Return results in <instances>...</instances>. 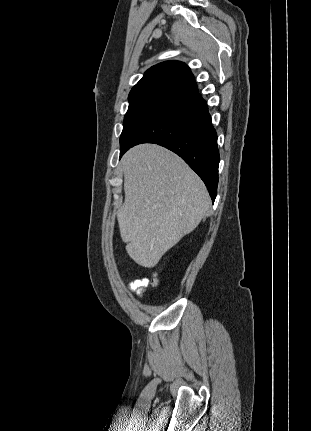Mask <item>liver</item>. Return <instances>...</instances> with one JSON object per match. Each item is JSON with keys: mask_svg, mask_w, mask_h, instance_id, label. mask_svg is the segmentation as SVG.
I'll list each match as a JSON object with an SVG mask.
<instances>
[{"mask_svg": "<svg viewBox=\"0 0 311 431\" xmlns=\"http://www.w3.org/2000/svg\"><path fill=\"white\" fill-rule=\"evenodd\" d=\"M125 200L117 212L120 235L131 259L154 267L209 210L199 176L173 152L141 144L121 160Z\"/></svg>", "mask_w": 311, "mask_h": 431, "instance_id": "6515ba94", "label": "liver"}]
</instances>
